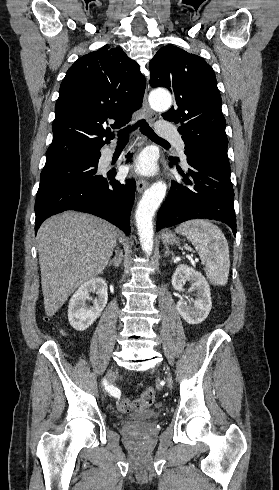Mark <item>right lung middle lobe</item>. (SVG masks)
I'll return each mask as SVG.
<instances>
[{"label": "right lung middle lobe", "instance_id": "1", "mask_svg": "<svg viewBox=\"0 0 279 490\" xmlns=\"http://www.w3.org/2000/svg\"><path fill=\"white\" fill-rule=\"evenodd\" d=\"M97 159L98 156H94L45 164L40 175V184L56 182L75 176L95 174L97 172Z\"/></svg>", "mask_w": 279, "mask_h": 490}]
</instances>
